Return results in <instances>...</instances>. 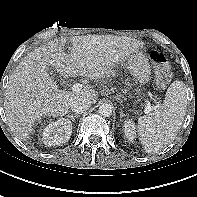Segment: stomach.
Listing matches in <instances>:
<instances>
[{
    "label": "stomach",
    "mask_w": 197,
    "mask_h": 197,
    "mask_svg": "<svg viewBox=\"0 0 197 197\" xmlns=\"http://www.w3.org/2000/svg\"><path fill=\"white\" fill-rule=\"evenodd\" d=\"M130 71L135 81L143 87L151 78V67L149 60L142 52L131 54L122 62Z\"/></svg>",
    "instance_id": "1"
}]
</instances>
